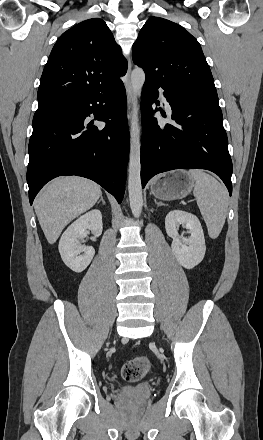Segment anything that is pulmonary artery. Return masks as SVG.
<instances>
[{
	"label": "pulmonary artery",
	"instance_id": "e3ab8cb5",
	"mask_svg": "<svg viewBox=\"0 0 263 440\" xmlns=\"http://www.w3.org/2000/svg\"><path fill=\"white\" fill-rule=\"evenodd\" d=\"M160 98H161V100L164 102L166 109H167L168 111H171V106H170V104L168 103V101H167L165 95H164L162 92L160 93Z\"/></svg>",
	"mask_w": 263,
	"mask_h": 440
}]
</instances>
